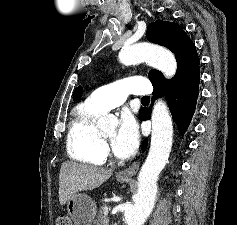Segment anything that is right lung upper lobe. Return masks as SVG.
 <instances>
[{"label":"right lung upper lobe","instance_id":"right-lung-upper-lobe-1","mask_svg":"<svg viewBox=\"0 0 237 225\" xmlns=\"http://www.w3.org/2000/svg\"><path fill=\"white\" fill-rule=\"evenodd\" d=\"M82 95V87L79 86L78 88L75 89L74 93H73V100H77L81 97Z\"/></svg>","mask_w":237,"mask_h":225}]
</instances>
